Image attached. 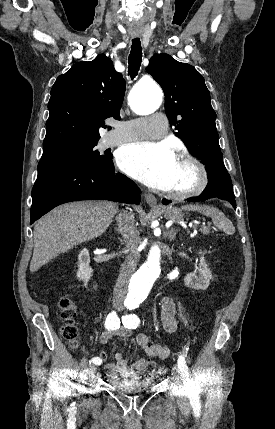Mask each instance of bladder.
I'll list each match as a JSON object with an SVG mask.
<instances>
[{
	"label": "bladder",
	"instance_id": "bladder-1",
	"mask_svg": "<svg viewBox=\"0 0 275 429\" xmlns=\"http://www.w3.org/2000/svg\"><path fill=\"white\" fill-rule=\"evenodd\" d=\"M110 383L116 387L117 393H150V384H146V378H120Z\"/></svg>",
	"mask_w": 275,
	"mask_h": 429
}]
</instances>
